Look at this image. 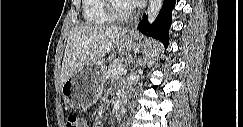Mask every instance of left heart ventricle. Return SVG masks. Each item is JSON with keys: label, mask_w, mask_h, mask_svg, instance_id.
<instances>
[{"label": "left heart ventricle", "mask_w": 243, "mask_h": 127, "mask_svg": "<svg viewBox=\"0 0 243 127\" xmlns=\"http://www.w3.org/2000/svg\"><path fill=\"white\" fill-rule=\"evenodd\" d=\"M130 3L128 1L120 0L118 2V9L121 12H127L129 10Z\"/></svg>", "instance_id": "1"}]
</instances>
